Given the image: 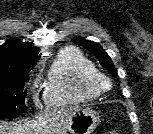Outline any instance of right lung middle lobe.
I'll use <instances>...</instances> for the list:
<instances>
[{"label": "right lung middle lobe", "mask_w": 153, "mask_h": 134, "mask_svg": "<svg viewBox=\"0 0 153 134\" xmlns=\"http://www.w3.org/2000/svg\"><path fill=\"white\" fill-rule=\"evenodd\" d=\"M28 73L0 74V119L20 115L27 111L24 105L25 83Z\"/></svg>", "instance_id": "dd1d6c3e"}]
</instances>
